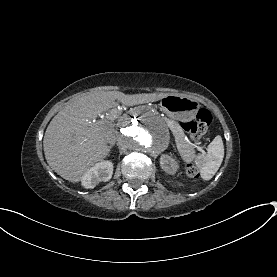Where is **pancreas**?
I'll return each instance as SVG.
<instances>
[{"label": "pancreas", "instance_id": "1", "mask_svg": "<svg viewBox=\"0 0 277 277\" xmlns=\"http://www.w3.org/2000/svg\"><path fill=\"white\" fill-rule=\"evenodd\" d=\"M172 136L175 138V147L181 148V156L184 159H189L192 156V148L188 144V139L186 137L185 131H183L181 125L172 126Z\"/></svg>", "mask_w": 277, "mask_h": 277}]
</instances>
